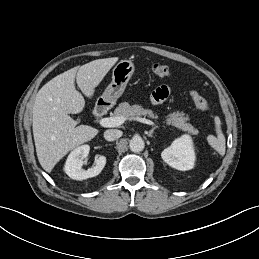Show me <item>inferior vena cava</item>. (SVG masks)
I'll list each match as a JSON object with an SVG mask.
<instances>
[{"mask_svg":"<svg viewBox=\"0 0 259 259\" xmlns=\"http://www.w3.org/2000/svg\"><path fill=\"white\" fill-rule=\"evenodd\" d=\"M121 131L120 130H117V129H109V130H106L104 132V138L107 140V141H114L116 139H118L119 137H121Z\"/></svg>","mask_w":259,"mask_h":259,"instance_id":"602c4592","label":"inferior vena cava"}]
</instances>
